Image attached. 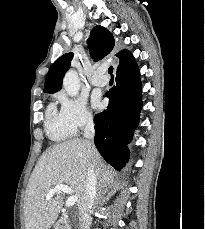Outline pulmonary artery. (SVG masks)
I'll return each instance as SVG.
<instances>
[{
  "mask_svg": "<svg viewBox=\"0 0 205 229\" xmlns=\"http://www.w3.org/2000/svg\"><path fill=\"white\" fill-rule=\"evenodd\" d=\"M107 83V78L102 76L100 73H96L92 78V84L95 86H104Z\"/></svg>",
  "mask_w": 205,
  "mask_h": 229,
  "instance_id": "pulmonary-artery-1",
  "label": "pulmonary artery"
}]
</instances>
